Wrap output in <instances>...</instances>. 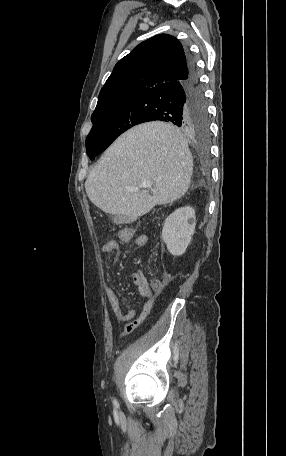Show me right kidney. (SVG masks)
Returning a JSON list of instances; mask_svg holds the SVG:
<instances>
[{
    "mask_svg": "<svg viewBox=\"0 0 286 456\" xmlns=\"http://www.w3.org/2000/svg\"><path fill=\"white\" fill-rule=\"evenodd\" d=\"M196 226L195 210L181 207L169 215L163 226L162 239L172 255L185 253Z\"/></svg>",
    "mask_w": 286,
    "mask_h": 456,
    "instance_id": "ca27d5eb",
    "label": "right kidney"
}]
</instances>
